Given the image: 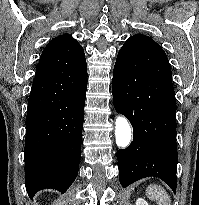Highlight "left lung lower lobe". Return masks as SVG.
Segmentation results:
<instances>
[{
    "label": "left lung lower lobe",
    "mask_w": 199,
    "mask_h": 205,
    "mask_svg": "<svg viewBox=\"0 0 199 205\" xmlns=\"http://www.w3.org/2000/svg\"><path fill=\"white\" fill-rule=\"evenodd\" d=\"M112 93L115 110L133 127V142L117 151L121 185L156 176L175 193L176 99L162 47L148 36H131L118 53Z\"/></svg>",
    "instance_id": "1"
}]
</instances>
